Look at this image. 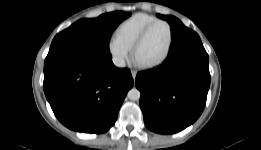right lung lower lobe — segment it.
I'll return each mask as SVG.
<instances>
[{
	"instance_id": "obj_1",
	"label": "right lung lower lobe",
	"mask_w": 261,
	"mask_h": 150,
	"mask_svg": "<svg viewBox=\"0 0 261 150\" xmlns=\"http://www.w3.org/2000/svg\"><path fill=\"white\" fill-rule=\"evenodd\" d=\"M133 84L130 70L116 68L110 53L62 49L45 59L46 98L59 121L74 131L106 132Z\"/></svg>"
}]
</instances>
